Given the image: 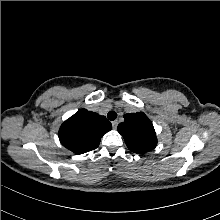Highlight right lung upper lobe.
<instances>
[{
    "mask_svg": "<svg viewBox=\"0 0 220 220\" xmlns=\"http://www.w3.org/2000/svg\"><path fill=\"white\" fill-rule=\"evenodd\" d=\"M111 129L104 116L80 109L61 125L59 139L67 149L83 154L97 148L102 136Z\"/></svg>",
    "mask_w": 220,
    "mask_h": 220,
    "instance_id": "1",
    "label": "right lung upper lobe"
}]
</instances>
